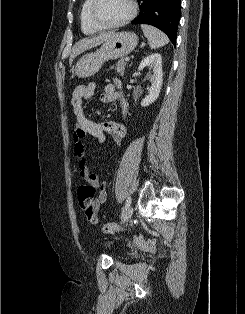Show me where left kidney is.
Segmentation results:
<instances>
[{"mask_svg": "<svg viewBox=\"0 0 245 314\" xmlns=\"http://www.w3.org/2000/svg\"><path fill=\"white\" fill-rule=\"evenodd\" d=\"M146 66L153 68V75L151 77V87L148 91V95L141 101V106L146 107L154 103L159 97V93L163 83L162 72V58L158 53L151 54L145 57L139 67L138 71L143 70Z\"/></svg>", "mask_w": 245, "mask_h": 314, "instance_id": "obj_1", "label": "left kidney"}]
</instances>
